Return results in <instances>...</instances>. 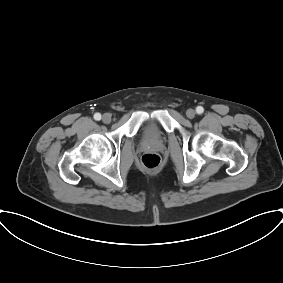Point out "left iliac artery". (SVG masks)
Masks as SVG:
<instances>
[{"label":"left iliac artery","mask_w":283,"mask_h":283,"mask_svg":"<svg viewBox=\"0 0 283 283\" xmlns=\"http://www.w3.org/2000/svg\"><path fill=\"white\" fill-rule=\"evenodd\" d=\"M196 112H197L198 114H202V113L204 112V108H203L202 106H198V107L196 108Z\"/></svg>","instance_id":"left-iliac-artery-1"}]
</instances>
